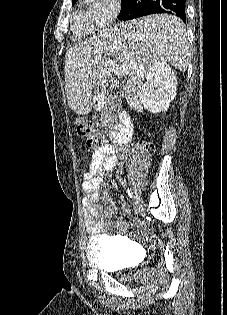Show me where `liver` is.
Wrapping results in <instances>:
<instances>
[{
	"label": "liver",
	"mask_w": 227,
	"mask_h": 315,
	"mask_svg": "<svg viewBox=\"0 0 227 315\" xmlns=\"http://www.w3.org/2000/svg\"><path fill=\"white\" fill-rule=\"evenodd\" d=\"M186 27L174 15H150L101 31L66 52L65 91L69 107L78 115L91 112L93 91L106 92L112 77L108 62L127 68L125 98L143 112V81L150 67L168 62L185 72L190 61Z\"/></svg>",
	"instance_id": "1"
}]
</instances>
